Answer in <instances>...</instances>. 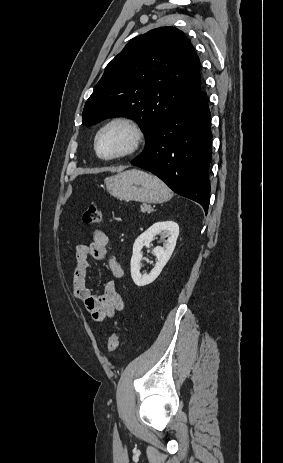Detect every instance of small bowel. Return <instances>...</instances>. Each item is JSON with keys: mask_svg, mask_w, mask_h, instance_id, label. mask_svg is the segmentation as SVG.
<instances>
[{"mask_svg": "<svg viewBox=\"0 0 283 463\" xmlns=\"http://www.w3.org/2000/svg\"><path fill=\"white\" fill-rule=\"evenodd\" d=\"M108 249L109 237L102 229L93 231L92 241L89 244H79L75 249L73 295L84 304L92 319L97 322L113 317L123 310L125 305L114 280L106 283L104 292L100 296H94L87 287L86 280L90 268L88 257L102 260L107 256ZM108 267L114 279L124 277V268L114 256L108 258Z\"/></svg>", "mask_w": 283, "mask_h": 463, "instance_id": "small-bowel-1", "label": "small bowel"}]
</instances>
